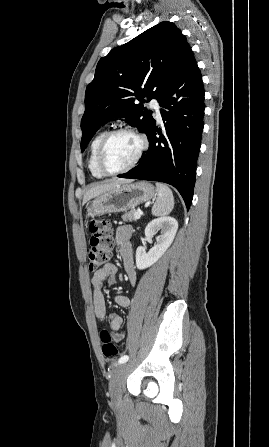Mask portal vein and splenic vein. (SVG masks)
<instances>
[{
	"label": "portal vein and splenic vein",
	"mask_w": 269,
	"mask_h": 447,
	"mask_svg": "<svg viewBox=\"0 0 269 447\" xmlns=\"http://www.w3.org/2000/svg\"><path fill=\"white\" fill-rule=\"evenodd\" d=\"M134 218H135V220H140L141 214H139V212H135Z\"/></svg>",
	"instance_id": "1"
}]
</instances>
